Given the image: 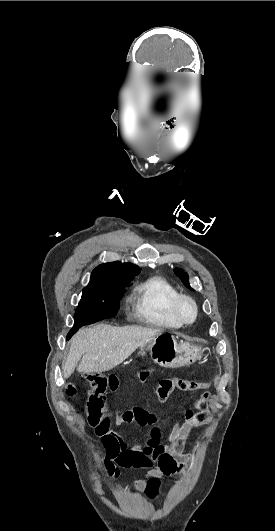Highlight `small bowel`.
<instances>
[{
	"label": "small bowel",
	"mask_w": 275,
	"mask_h": 531,
	"mask_svg": "<svg viewBox=\"0 0 275 531\" xmlns=\"http://www.w3.org/2000/svg\"><path fill=\"white\" fill-rule=\"evenodd\" d=\"M152 371L145 367L139 371L138 375L130 374L127 377L130 383L146 384L150 380ZM123 377L120 375H110L108 384L112 391L117 392L121 388ZM212 397L209 393H203L194 401L195 409H187L181 421L177 422L168 436V442L160 444L159 439L162 437L164 428L160 418L153 413L146 412L140 408H134L122 413L117 417V425L136 424L141 427H148L151 438L145 443L135 441L131 448H127L124 437L117 431L104 425L99 427L98 435L105 449L112 446H118L124 449V463L127 467L145 469L146 476L136 480L130 485L132 491H141L147 481L150 471H157L159 477L162 475L172 476L183 470L185 465L194 458L193 453L184 451L185 441L190 432L199 426L210 423L211 411L210 403ZM110 404L109 402L107 403ZM112 415L117 413L115 408L110 411Z\"/></svg>",
	"instance_id": "obj_1"
}]
</instances>
